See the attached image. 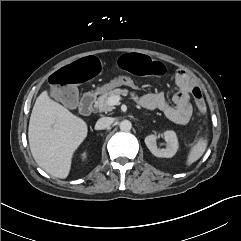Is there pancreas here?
<instances>
[{"mask_svg":"<svg viewBox=\"0 0 241 241\" xmlns=\"http://www.w3.org/2000/svg\"><path fill=\"white\" fill-rule=\"evenodd\" d=\"M128 94H129V91L127 89H120V88L106 91L101 96L98 97V99L95 101L94 106L100 112L107 113L109 111H112V107L107 104L108 98H110L111 96H120V95L126 96ZM130 95L133 100L136 101L138 99V96L135 93H130Z\"/></svg>","mask_w":241,"mask_h":241,"instance_id":"pancreas-1","label":"pancreas"}]
</instances>
